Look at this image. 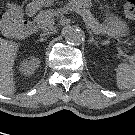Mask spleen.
<instances>
[{"instance_id":"obj_1","label":"spleen","mask_w":135,"mask_h":135,"mask_svg":"<svg viewBox=\"0 0 135 135\" xmlns=\"http://www.w3.org/2000/svg\"><path fill=\"white\" fill-rule=\"evenodd\" d=\"M116 83L121 90L135 87V63H122L118 65Z\"/></svg>"}]
</instances>
